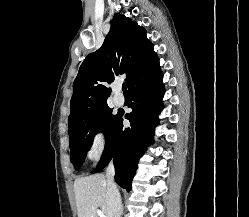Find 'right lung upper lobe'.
Masks as SVG:
<instances>
[{"mask_svg": "<svg viewBox=\"0 0 249 217\" xmlns=\"http://www.w3.org/2000/svg\"><path fill=\"white\" fill-rule=\"evenodd\" d=\"M155 55L145 29L130 18L115 14L102 47L89 54L79 68L69 119L107 103L110 89L103 83H112L119 74H126L129 87Z\"/></svg>", "mask_w": 249, "mask_h": 217, "instance_id": "right-lung-upper-lobe-1", "label": "right lung upper lobe"}]
</instances>
